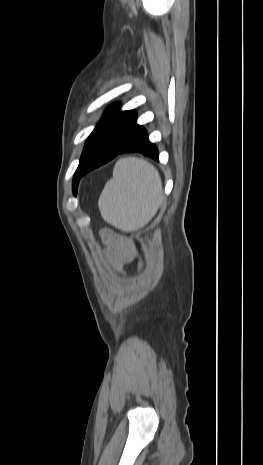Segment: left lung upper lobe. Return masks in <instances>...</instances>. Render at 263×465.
Returning a JSON list of instances; mask_svg holds the SVG:
<instances>
[{
  "label": "left lung upper lobe",
  "instance_id": "left-lung-upper-lobe-1",
  "mask_svg": "<svg viewBox=\"0 0 263 465\" xmlns=\"http://www.w3.org/2000/svg\"><path fill=\"white\" fill-rule=\"evenodd\" d=\"M121 114V111H118V105L111 106L106 112L102 120L97 124L93 132L88 137L86 144L84 146L82 156L80 159L79 166L74 174L73 180V192L76 194L77 186L80 178L82 177L81 170L88 160L92 150L94 149L99 138L107 127Z\"/></svg>",
  "mask_w": 263,
  "mask_h": 465
}]
</instances>
